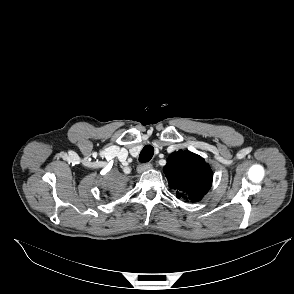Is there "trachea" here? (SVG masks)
I'll list each match as a JSON object with an SVG mask.
<instances>
[{
	"label": "trachea",
	"instance_id": "obj_1",
	"mask_svg": "<svg viewBox=\"0 0 294 294\" xmlns=\"http://www.w3.org/2000/svg\"><path fill=\"white\" fill-rule=\"evenodd\" d=\"M154 154V148L151 145L145 146L140 155H139V162L145 163L151 160Z\"/></svg>",
	"mask_w": 294,
	"mask_h": 294
}]
</instances>
